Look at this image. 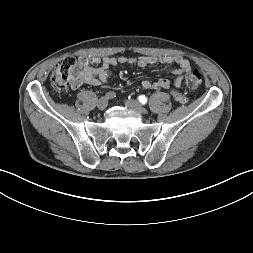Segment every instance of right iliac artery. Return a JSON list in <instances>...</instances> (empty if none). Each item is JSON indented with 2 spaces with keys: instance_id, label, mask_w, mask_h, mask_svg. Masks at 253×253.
Returning a JSON list of instances; mask_svg holds the SVG:
<instances>
[{
  "instance_id": "obj_1",
  "label": "right iliac artery",
  "mask_w": 253,
  "mask_h": 253,
  "mask_svg": "<svg viewBox=\"0 0 253 253\" xmlns=\"http://www.w3.org/2000/svg\"><path fill=\"white\" fill-rule=\"evenodd\" d=\"M105 97H106L107 99H113V98L116 97V93L113 92V91L107 92V93L105 94Z\"/></svg>"
}]
</instances>
